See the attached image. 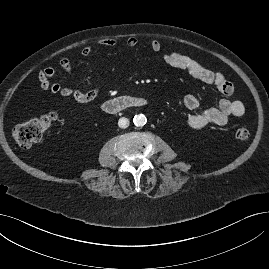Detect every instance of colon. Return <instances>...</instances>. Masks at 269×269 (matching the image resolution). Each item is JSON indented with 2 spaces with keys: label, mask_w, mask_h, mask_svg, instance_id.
I'll return each mask as SVG.
<instances>
[{
  "label": "colon",
  "mask_w": 269,
  "mask_h": 269,
  "mask_svg": "<svg viewBox=\"0 0 269 269\" xmlns=\"http://www.w3.org/2000/svg\"><path fill=\"white\" fill-rule=\"evenodd\" d=\"M55 119L54 113H47L17 124L11 129V136L20 147L29 148L39 142L43 135L50 130ZM249 135L250 132L245 127H240L236 131V137L240 140H246Z\"/></svg>",
  "instance_id": "colon-1"
}]
</instances>
